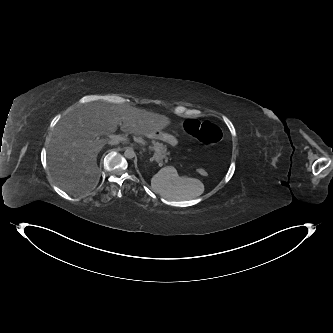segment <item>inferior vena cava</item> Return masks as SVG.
Wrapping results in <instances>:
<instances>
[{
	"label": "inferior vena cava",
	"mask_w": 333,
	"mask_h": 333,
	"mask_svg": "<svg viewBox=\"0 0 333 333\" xmlns=\"http://www.w3.org/2000/svg\"><path fill=\"white\" fill-rule=\"evenodd\" d=\"M108 144H110V145H117L118 142L109 141Z\"/></svg>",
	"instance_id": "inferior-vena-cava-1"
}]
</instances>
